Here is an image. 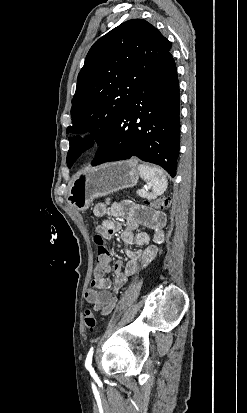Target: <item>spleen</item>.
Masks as SVG:
<instances>
[{"label": "spleen", "mask_w": 247, "mask_h": 413, "mask_svg": "<svg viewBox=\"0 0 247 413\" xmlns=\"http://www.w3.org/2000/svg\"><path fill=\"white\" fill-rule=\"evenodd\" d=\"M140 170V176L146 180V182H150L153 186V194L155 196H158V194H163L164 190L167 188V180L166 176L162 170V168H159V166H153V168H146L144 164H139L138 166ZM147 172H150V180H147Z\"/></svg>", "instance_id": "3e777b00"}]
</instances>
